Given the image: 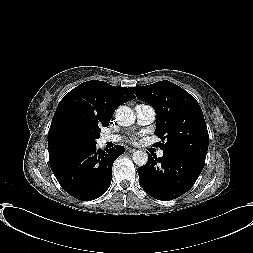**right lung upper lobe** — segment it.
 I'll return each mask as SVG.
<instances>
[{"label":"right lung upper lobe","instance_id":"right-lung-upper-lobe-1","mask_svg":"<svg viewBox=\"0 0 253 253\" xmlns=\"http://www.w3.org/2000/svg\"><path fill=\"white\" fill-rule=\"evenodd\" d=\"M134 98L131 87L111 86L98 80L78 85L57 106L48 132L49 157L72 150L59 139L63 125L80 122L99 129L106 127L117 107Z\"/></svg>","mask_w":253,"mask_h":253}]
</instances>
